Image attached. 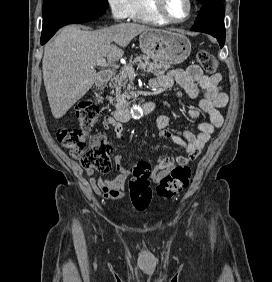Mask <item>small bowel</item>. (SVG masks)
Masks as SVG:
<instances>
[{
	"mask_svg": "<svg viewBox=\"0 0 272 282\" xmlns=\"http://www.w3.org/2000/svg\"><path fill=\"white\" fill-rule=\"evenodd\" d=\"M155 80L156 82L151 84L152 89L168 90L177 84L191 100L198 98L201 89L203 91L202 97L196 104L189 107L188 114L192 119H199L202 113L209 117V121H201L198 124L197 134L189 130H183L184 140L170 130V127L174 125L170 115L165 114L157 118L156 127L160 136L169 138L176 144L186 147L184 155L158 159L151 172L152 181L158 183L163 176L176 166L186 165L194 160L208 142L214 130L222 126L224 119L220 109L227 105L228 95L220 84V74L206 75L197 65H190L186 69L172 70ZM103 127L105 129L112 128L116 137L118 139L122 138L123 126L114 117H106L103 121ZM113 162L116 170L114 177L97 176L96 171L93 169H86V174L92 189L97 195L113 201H122L126 196L125 182L131 173V169L124 166L121 155H115ZM141 165L149 168V164L146 162L138 161L135 163V166Z\"/></svg>",
	"mask_w": 272,
	"mask_h": 282,
	"instance_id": "c3829d8e",
	"label": "small bowel"
}]
</instances>
